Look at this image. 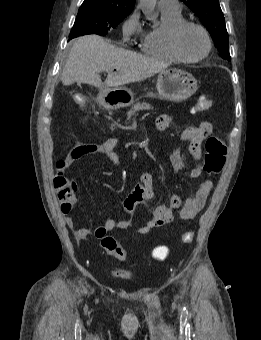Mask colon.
<instances>
[{
  "instance_id": "obj_1",
  "label": "colon",
  "mask_w": 261,
  "mask_h": 340,
  "mask_svg": "<svg viewBox=\"0 0 261 340\" xmlns=\"http://www.w3.org/2000/svg\"><path fill=\"white\" fill-rule=\"evenodd\" d=\"M212 106V100L201 97L196 106L195 111H204ZM227 147L225 142L217 136L209 137L205 142V156L203 170L208 174H216L220 172L225 164ZM65 161L57 162L58 173L54 178V187L60 202L61 211L64 214L70 212L77 202L76 184L73 180L64 174ZM193 239V233L188 231L182 234L181 241L190 243ZM101 244L107 254L114 256L120 261L127 259V254L120 243L112 236H105L101 239ZM169 248L164 245L156 246L152 250V258L156 261H164L169 256Z\"/></svg>"
}]
</instances>
